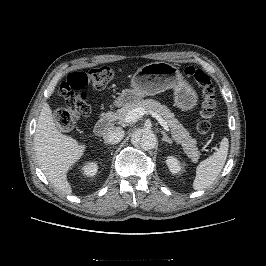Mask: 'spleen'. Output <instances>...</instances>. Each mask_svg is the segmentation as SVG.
<instances>
[{
  "label": "spleen",
  "instance_id": "spleen-1",
  "mask_svg": "<svg viewBox=\"0 0 266 266\" xmlns=\"http://www.w3.org/2000/svg\"><path fill=\"white\" fill-rule=\"evenodd\" d=\"M228 147L229 141L224 137L220 142L219 149L197 166L193 182L195 190H203L216 180L226 162Z\"/></svg>",
  "mask_w": 266,
  "mask_h": 266
}]
</instances>
